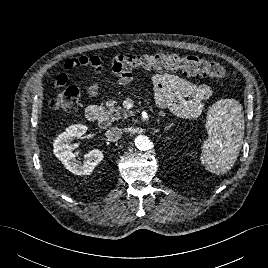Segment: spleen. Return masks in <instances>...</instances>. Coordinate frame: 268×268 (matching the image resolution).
<instances>
[{
	"mask_svg": "<svg viewBox=\"0 0 268 268\" xmlns=\"http://www.w3.org/2000/svg\"><path fill=\"white\" fill-rule=\"evenodd\" d=\"M242 105L234 99L215 102L207 113L208 138L202 146L200 160L206 169L223 175L235 164L244 137Z\"/></svg>",
	"mask_w": 268,
	"mask_h": 268,
	"instance_id": "3e777b00",
	"label": "spleen"
}]
</instances>
